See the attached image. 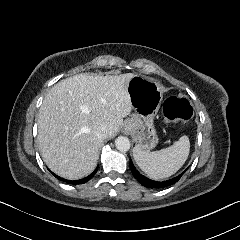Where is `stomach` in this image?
I'll return each instance as SVG.
<instances>
[{"instance_id":"0dacf381","label":"stomach","mask_w":240,"mask_h":240,"mask_svg":"<svg viewBox=\"0 0 240 240\" xmlns=\"http://www.w3.org/2000/svg\"><path fill=\"white\" fill-rule=\"evenodd\" d=\"M127 92L134 112L125 121L123 131L132 135L137 148L149 152L159 141L154 118L163 100V86L153 78L134 75Z\"/></svg>"}]
</instances>
